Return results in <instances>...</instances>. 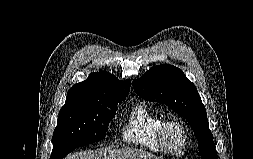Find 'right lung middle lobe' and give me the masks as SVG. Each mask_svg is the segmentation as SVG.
I'll return each instance as SVG.
<instances>
[{"instance_id":"1","label":"right lung middle lobe","mask_w":253,"mask_h":159,"mask_svg":"<svg viewBox=\"0 0 253 159\" xmlns=\"http://www.w3.org/2000/svg\"><path fill=\"white\" fill-rule=\"evenodd\" d=\"M122 100L66 101L59 112L57 127L53 133L50 159H62L79 146L103 139L109 122L116 114L117 104Z\"/></svg>"}]
</instances>
